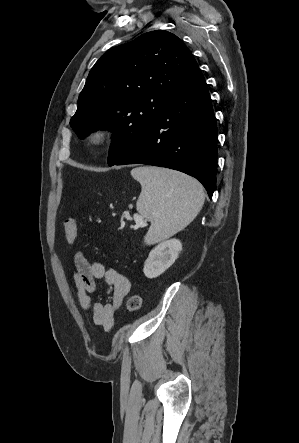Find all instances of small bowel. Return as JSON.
<instances>
[{
  "instance_id": "obj_1",
  "label": "small bowel",
  "mask_w": 299,
  "mask_h": 443,
  "mask_svg": "<svg viewBox=\"0 0 299 443\" xmlns=\"http://www.w3.org/2000/svg\"><path fill=\"white\" fill-rule=\"evenodd\" d=\"M74 282L77 297L81 307L88 311L93 322L110 330L115 321V314L130 292L131 284L128 278L115 268H105L100 261H90L82 252L74 257ZM105 283L108 290V300L91 301V295L96 293Z\"/></svg>"
}]
</instances>
